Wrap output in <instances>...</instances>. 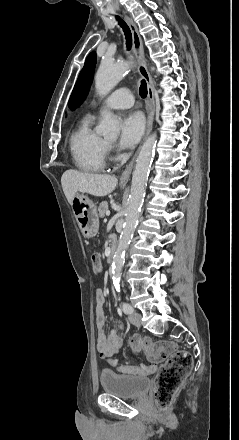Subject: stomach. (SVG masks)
Instances as JSON below:
<instances>
[{"mask_svg":"<svg viewBox=\"0 0 239 440\" xmlns=\"http://www.w3.org/2000/svg\"><path fill=\"white\" fill-rule=\"evenodd\" d=\"M72 210L84 238H94L98 234L99 218L92 200L84 192H78L73 200Z\"/></svg>","mask_w":239,"mask_h":440,"instance_id":"obj_1","label":"stomach"}]
</instances>
